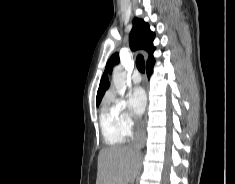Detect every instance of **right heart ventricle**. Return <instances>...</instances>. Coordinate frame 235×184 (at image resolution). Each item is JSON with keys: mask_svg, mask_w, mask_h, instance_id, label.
I'll return each mask as SVG.
<instances>
[{"mask_svg": "<svg viewBox=\"0 0 235 184\" xmlns=\"http://www.w3.org/2000/svg\"><path fill=\"white\" fill-rule=\"evenodd\" d=\"M102 136L108 148L100 155L102 160L116 157L124 148L125 138L116 125L114 112L110 107H102L99 115Z\"/></svg>", "mask_w": 235, "mask_h": 184, "instance_id": "1", "label": "right heart ventricle"}]
</instances>
